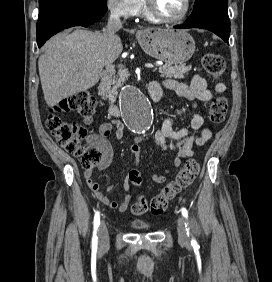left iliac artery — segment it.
Masks as SVG:
<instances>
[{"instance_id":"obj_1","label":"left iliac artery","mask_w":272,"mask_h":282,"mask_svg":"<svg viewBox=\"0 0 272 282\" xmlns=\"http://www.w3.org/2000/svg\"><path fill=\"white\" fill-rule=\"evenodd\" d=\"M181 212H182L183 217H184L185 219H187V218H188V211L186 210V208L183 207V208L181 209ZM191 243H192V244H196L195 239L192 238Z\"/></svg>"}]
</instances>
